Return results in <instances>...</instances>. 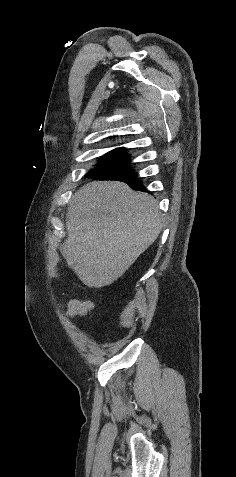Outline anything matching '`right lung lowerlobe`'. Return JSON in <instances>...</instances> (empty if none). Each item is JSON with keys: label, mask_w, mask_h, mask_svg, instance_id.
<instances>
[{"label": "right lung lower lobe", "mask_w": 236, "mask_h": 477, "mask_svg": "<svg viewBox=\"0 0 236 477\" xmlns=\"http://www.w3.org/2000/svg\"><path fill=\"white\" fill-rule=\"evenodd\" d=\"M137 173L131 167L120 170L110 176L101 178L99 180H117L127 183L134 190L145 191V187L141 180L137 178Z\"/></svg>", "instance_id": "right-lung-lower-lobe-1"}]
</instances>
